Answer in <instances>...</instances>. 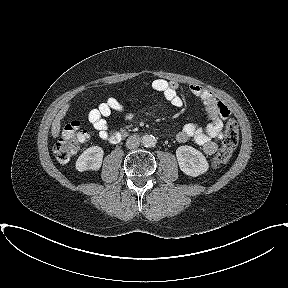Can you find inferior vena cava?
I'll use <instances>...</instances> for the list:
<instances>
[{"label": "inferior vena cava", "instance_id": "1", "mask_svg": "<svg viewBox=\"0 0 288 288\" xmlns=\"http://www.w3.org/2000/svg\"><path fill=\"white\" fill-rule=\"evenodd\" d=\"M140 143H141V138L136 135H133V136L128 137V139L126 140V147L128 149H135L139 147Z\"/></svg>", "mask_w": 288, "mask_h": 288}]
</instances>
